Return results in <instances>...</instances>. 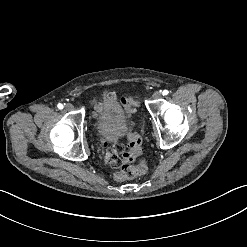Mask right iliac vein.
<instances>
[{"label": "right iliac vein", "mask_w": 247, "mask_h": 247, "mask_svg": "<svg viewBox=\"0 0 247 247\" xmlns=\"http://www.w3.org/2000/svg\"><path fill=\"white\" fill-rule=\"evenodd\" d=\"M73 109H74V106L72 104H70V103L66 104V110L67 111H72Z\"/></svg>", "instance_id": "1"}]
</instances>
